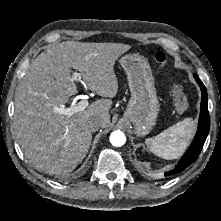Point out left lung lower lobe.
<instances>
[{
  "mask_svg": "<svg viewBox=\"0 0 221 221\" xmlns=\"http://www.w3.org/2000/svg\"><path fill=\"white\" fill-rule=\"evenodd\" d=\"M194 78L196 79L202 91V101L200 107L201 111L199 117L198 130L192 144L185 152V154L182 156V158L179 160L178 164L175 166L173 170H170L165 175L169 176L176 175L184 171L188 166H190L199 156L210 130V117L207 107L208 97H207L206 88L198 76H195Z\"/></svg>",
  "mask_w": 221,
  "mask_h": 221,
  "instance_id": "obj_1",
  "label": "left lung lower lobe"
}]
</instances>
